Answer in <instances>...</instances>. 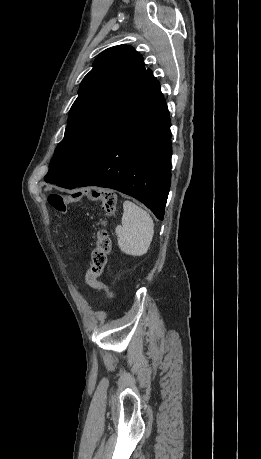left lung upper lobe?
<instances>
[{
    "label": "left lung upper lobe",
    "instance_id": "1",
    "mask_svg": "<svg viewBox=\"0 0 261 459\" xmlns=\"http://www.w3.org/2000/svg\"><path fill=\"white\" fill-rule=\"evenodd\" d=\"M159 86L131 46L106 49L85 76L44 180L60 184L87 164Z\"/></svg>",
    "mask_w": 261,
    "mask_h": 459
}]
</instances>
